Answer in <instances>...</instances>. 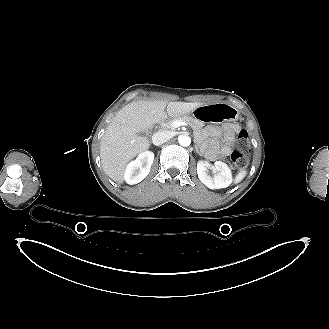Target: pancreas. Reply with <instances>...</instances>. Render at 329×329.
<instances>
[{"instance_id":"pancreas-1","label":"pancreas","mask_w":329,"mask_h":329,"mask_svg":"<svg viewBox=\"0 0 329 329\" xmlns=\"http://www.w3.org/2000/svg\"><path fill=\"white\" fill-rule=\"evenodd\" d=\"M175 121H183V122H186L188 125H190L193 128V130H197V129H199L201 127V122L198 119L193 118V117H190V116H181V117H175L173 119H170L166 123V127L167 128H173L172 127V124Z\"/></svg>"}]
</instances>
